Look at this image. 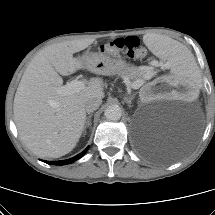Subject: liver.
<instances>
[{
  "label": "liver",
  "mask_w": 215,
  "mask_h": 215,
  "mask_svg": "<svg viewBox=\"0 0 215 215\" xmlns=\"http://www.w3.org/2000/svg\"><path fill=\"white\" fill-rule=\"evenodd\" d=\"M94 41L83 38L45 47L31 60L21 78L14 97V120L24 145L40 158H59L71 152L84 130L86 101L104 97L103 81L97 78L79 92H57L63 84L60 75L68 76L85 68L73 54Z\"/></svg>",
  "instance_id": "6515ba94"
}]
</instances>
